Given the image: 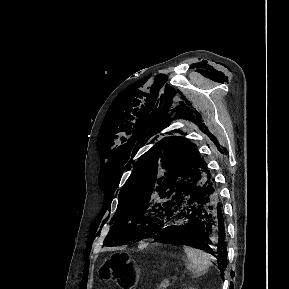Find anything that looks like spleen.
Returning <instances> with one entry per match:
<instances>
[{"mask_svg": "<svg viewBox=\"0 0 289 289\" xmlns=\"http://www.w3.org/2000/svg\"><path fill=\"white\" fill-rule=\"evenodd\" d=\"M189 263L187 268L196 276L204 274L211 266L210 255L202 250L184 246Z\"/></svg>", "mask_w": 289, "mask_h": 289, "instance_id": "1", "label": "spleen"}]
</instances>
